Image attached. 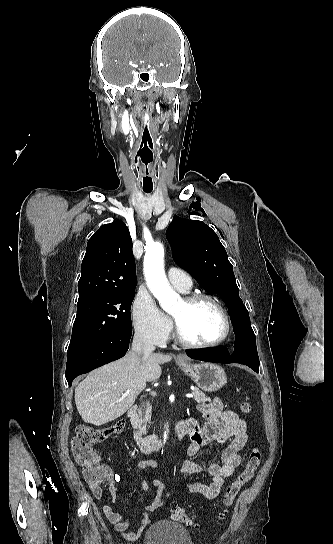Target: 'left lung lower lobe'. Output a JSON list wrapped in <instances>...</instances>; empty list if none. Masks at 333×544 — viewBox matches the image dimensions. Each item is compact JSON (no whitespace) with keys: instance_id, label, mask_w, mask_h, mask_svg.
<instances>
[{"instance_id":"obj_1","label":"left lung lower lobe","mask_w":333,"mask_h":544,"mask_svg":"<svg viewBox=\"0 0 333 544\" xmlns=\"http://www.w3.org/2000/svg\"><path fill=\"white\" fill-rule=\"evenodd\" d=\"M186 353L193 359L211 361L217 363H240L249 366L255 372L259 370V358L255 346L252 349H241L240 356L234 352L232 356H229L227 349L219 347L216 349L199 350L188 349Z\"/></svg>"}]
</instances>
